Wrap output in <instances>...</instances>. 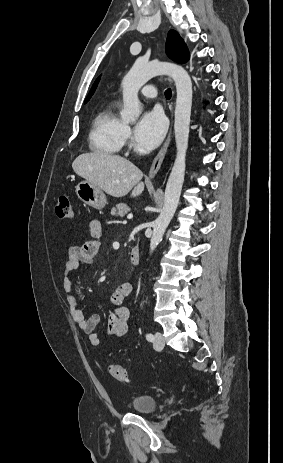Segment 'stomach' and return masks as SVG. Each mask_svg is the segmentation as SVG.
Masks as SVG:
<instances>
[{"mask_svg": "<svg viewBox=\"0 0 283 463\" xmlns=\"http://www.w3.org/2000/svg\"><path fill=\"white\" fill-rule=\"evenodd\" d=\"M78 198L94 209L101 210L106 205V196L95 184L88 181H81L76 186Z\"/></svg>", "mask_w": 283, "mask_h": 463, "instance_id": "0dacf381", "label": "stomach"}]
</instances>
